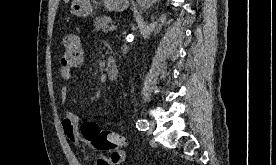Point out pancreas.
<instances>
[{"instance_id":"pancreas-1","label":"pancreas","mask_w":276,"mask_h":165,"mask_svg":"<svg viewBox=\"0 0 276 165\" xmlns=\"http://www.w3.org/2000/svg\"><path fill=\"white\" fill-rule=\"evenodd\" d=\"M112 20L109 16H102V17H97L94 21V26L96 31H103V32H108V24L111 23Z\"/></svg>"}]
</instances>
